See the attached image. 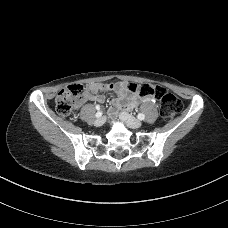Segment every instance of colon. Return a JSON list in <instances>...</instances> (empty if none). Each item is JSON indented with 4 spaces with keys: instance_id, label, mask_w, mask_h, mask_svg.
Returning <instances> with one entry per match:
<instances>
[{
    "instance_id": "1",
    "label": "colon",
    "mask_w": 228,
    "mask_h": 228,
    "mask_svg": "<svg viewBox=\"0 0 228 228\" xmlns=\"http://www.w3.org/2000/svg\"><path fill=\"white\" fill-rule=\"evenodd\" d=\"M129 92L137 94L141 98L158 97L161 101L160 113L165 120H171L182 109V102L173 94L163 92L159 87L143 83H129L127 86ZM84 87L81 84H72L62 89L55 98L57 113L62 117L69 116L82 95Z\"/></svg>"
}]
</instances>
